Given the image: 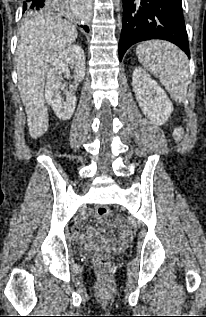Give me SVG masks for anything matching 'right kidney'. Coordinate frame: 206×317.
Returning a JSON list of instances; mask_svg holds the SVG:
<instances>
[{"label": "right kidney", "instance_id": "obj_1", "mask_svg": "<svg viewBox=\"0 0 206 317\" xmlns=\"http://www.w3.org/2000/svg\"><path fill=\"white\" fill-rule=\"evenodd\" d=\"M75 66L74 83L69 86L70 92L66 94L64 101L60 95L63 87L62 75L70 74L68 66ZM85 56L79 45H71L63 50L52 64L48 74L45 87V97L55 114L62 120H68L73 115L76 106L75 91L85 77Z\"/></svg>", "mask_w": 206, "mask_h": 317}]
</instances>
